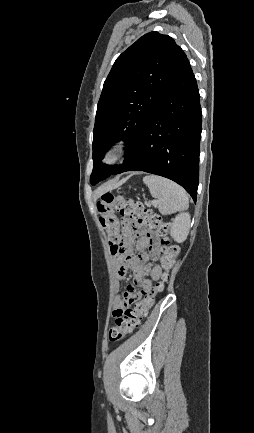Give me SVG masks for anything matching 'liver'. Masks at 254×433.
I'll return each instance as SVG.
<instances>
[{"label":"liver","mask_w":254,"mask_h":433,"mask_svg":"<svg viewBox=\"0 0 254 433\" xmlns=\"http://www.w3.org/2000/svg\"><path fill=\"white\" fill-rule=\"evenodd\" d=\"M123 181H124V180H121V181H119V182H115V183L104 184V185H102L100 188H98V189L96 190V194L99 195V194H101V193H103V192H105V191H107V190H111L112 188H114V187L119 186L120 184H122Z\"/></svg>","instance_id":"6515ba94"}]
</instances>
